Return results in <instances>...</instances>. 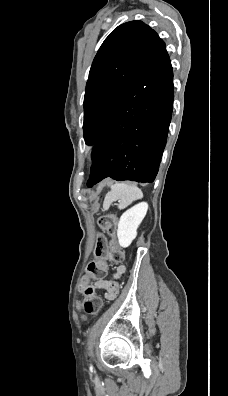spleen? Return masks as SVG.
<instances>
[{"instance_id": "obj_1", "label": "spleen", "mask_w": 228, "mask_h": 396, "mask_svg": "<svg viewBox=\"0 0 228 396\" xmlns=\"http://www.w3.org/2000/svg\"><path fill=\"white\" fill-rule=\"evenodd\" d=\"M143 193L136 185L127 183H116L111 186V191L105 196L103 208L109 209L112 202L118 200L120 210L129 206L135 200L141 199Z\"/></svg>"}]
</instances>
